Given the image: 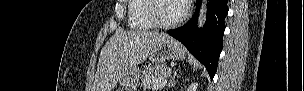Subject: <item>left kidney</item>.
<instances>
[{
	"mask_svg": "<svg viewBox=\"0 0 304 91\" xmlns=\"http://www.w3.org/2000/svg\"><path fill=\"white\" fill-rule=\"evenodd\" d=\"M197 87H198V83H192V84L188 87L187 91H196V90H197Z\"/></svg>",
	"mask_w": 304,
	"mask_h": 91,
	"instance_id": "1",
	"label": "left kidney"
}]
</instances>
